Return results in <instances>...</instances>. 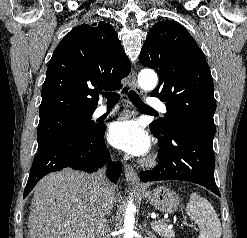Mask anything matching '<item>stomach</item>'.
I'll use <instances>...</instances> for the list:
<instances>
[{
    "label": "stomach",
    "instance_id": "0dacf381",
    "mask_svg": "<svg viewBox=\"0 0 247 238\" xmlns=\"http://www.w3.org/2000/svg\"><path fill=\"white\" fill-rule=\"evenodd\" d=\"M142 196L163 213L175 212L180 204L179 195L166 186H158L152 191L143 193Z\"/></svg>",
    "mask_w": 247,
    "mask_h": 238
}]
</instances>
